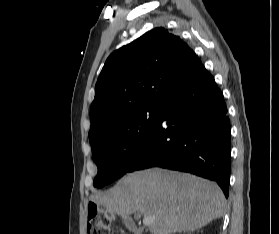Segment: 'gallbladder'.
I'll list each match as a JSON object with an SVG mask.
<instances>
[{
	"mask_svg": "<svg viewBox=\"0 0 279 234\" xmlns=\"http://www.w3.org/2000/svg\"><path fill=\"white\" fill-rule=\"evenodd\" d=\"M123 222L130 231H133V232L138 231V229L135 226L134 221L131 217H129V216L123 217Z\"/></svg>",
	"mask_w": 279,
	"mask_h": 234,
	"instance_id": "bac80fb5",
	"label": "gallbladder"
}]
</instances>
